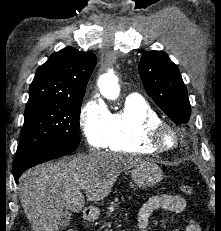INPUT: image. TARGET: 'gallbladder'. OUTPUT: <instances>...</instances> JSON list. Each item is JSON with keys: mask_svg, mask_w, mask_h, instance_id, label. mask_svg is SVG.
<instances>
[{"mask_svg": "<svg viewBox=\"0 0 221 231\" xmlns=\"http://www.w3.org/2000/svg\"><path fill=\"white\" fill-rule=\"evenodd\" d=\"M71 213L68 210H63L60 216L59 227L65 228L70 224Z\"/></svg>", "mask_w": 221, "mask_h": 231, "instance_id": "gallbladder-1", "label": "gallbladder"}]
</instances>
